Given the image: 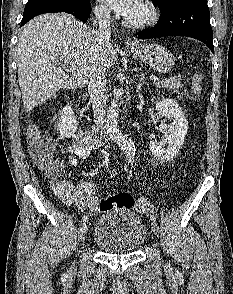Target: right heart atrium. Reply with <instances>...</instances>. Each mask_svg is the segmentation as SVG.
<instances>
[{
	"instance_id": "1",
	"label": "right heart atrium",
	"mask_w": 233,
	"mask_h": 294,
	"mask_svg": "<svg viewBox=\"0 0 233 294\" xmlns=\"http://www.w3.org/2000/svg\"><path fill=\"white\" fill-rule=\"evenodd\" d=\"M94 13L99 20L107 21L111 17L110 10L105 5L99 3L94 7Z\"/></svg>"
}]
</instances>
